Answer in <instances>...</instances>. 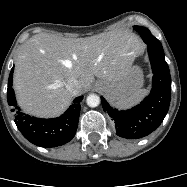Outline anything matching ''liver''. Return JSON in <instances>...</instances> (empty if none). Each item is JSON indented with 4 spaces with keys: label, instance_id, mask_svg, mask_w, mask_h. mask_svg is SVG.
Masks as SVG:
<instances>
[{
    "label": "liver",
    "instance_id": "liver-1",
    "mask_svg": "<svg viewBox=\"0 0 187 187\" xmlns=\"http://www.w3.org/2000/svg\"><path fill=\"white\" fill-rule=\"evenodd\" d=\"M138 38L128 31L68 39L39 33L21 47L15 62L14 90L19 106L37 117L60 115L75 95L89 90L95 77L121 80L139 52ZM71 79L80 89H67Z\"/></svg>",
    "mask_w": 187,
    "mask_h": 187
}]
</instances>
